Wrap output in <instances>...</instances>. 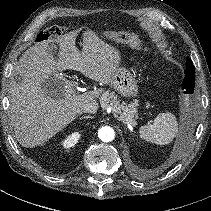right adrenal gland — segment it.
<instances>
[{"label": "right adrenal gland", "instance_id": "obj_1", "mask_svg": "<svg viewBox=\"0 0 211 211\" xmlns=\"http://www.w3.org/2000/svg\"><path fill=\"white\" fill-rule=\"evenodd\" d=\"M88 118H93L92 116H90V115H87V116H83V117H81L80 118V120H82V119H88Z\"/></svg>", "mask_w": 211, "mask_h": 211}]
</instances>
